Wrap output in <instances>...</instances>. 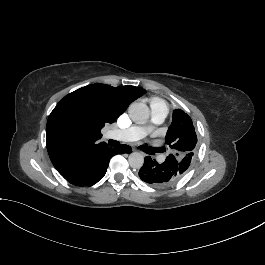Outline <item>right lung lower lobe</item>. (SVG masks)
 <instances>
[{
    "instance_id": "98d812e1",
    "label": "right lung lower lobe",
    "mask_w": 265,
    "mask_h": 265,
    "mask_svg": "<svg viewBox=\"0 0 265 265\" xmlns=\"http://www.w3.org/2000/svg\"><path fill=\"white\" fill-rule=\"evenodd\" d=\"M128 145L119 148L101 147L81 158L62 176L77 186H92L106 174L109 160L116 154L131 153Z\"/></svg>"
}]
</instances>
